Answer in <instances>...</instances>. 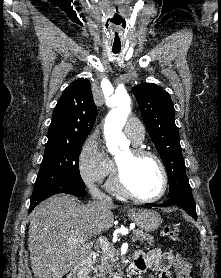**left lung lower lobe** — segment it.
<instances>
[{"instance_id": "obj_1", "label": "left lung lower lobe", "mask_w": 221, "mask_h": 278, "mask_svg": "<svg viewBox=\"0 0 221 278\" xmlns=\"http://www.w3.org/2000/svg\"><path fill=\"white\" fill-rule=\"evenodd\" d=\"M148 206L167 207L177 205L186 210L194 219H197L196 206L192 196L191 188H185L178 191L174 196L162 204L147 203Z\"/></svg>"}]
</instances>
